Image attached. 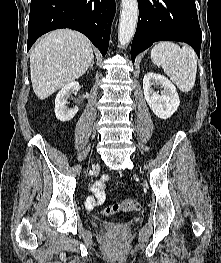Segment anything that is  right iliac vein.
Segmentation results:
<instances>
[{"instance_id":"obj_1","label":"right iliac vein","mask_w":221,"mask_h":263,"mask_svg":"<svg viewBox=\"0 0 221 263\" xmlns=\"http://www.w3.org/2000/svg\"><path fill=\"white\" fill-rule=\"evenodd\" d=\"M97 169V165H93V170H96Z\"/></svg>"}]
</instances>
